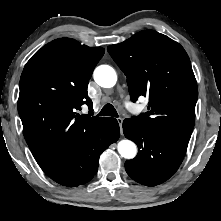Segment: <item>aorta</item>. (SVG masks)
<instances>
[{"mask_svg":"<svg viewBox=\"0 0 221 221\" xmlns=\"http://www.w3.org/2000/svg\"><path fill=\"white\" fill-rule=\"evenodd\" d=\"M94 80L101 87L111 88L117 82V74L111 66L100 65L94 71ZM117 148L119 154L126 159H132L137 154V147L130 140H121Z\"/></svg>","mask_w":221,"mask_h":221,"instance_id":"762f6f07","label":"aorta"}]
</instances>
